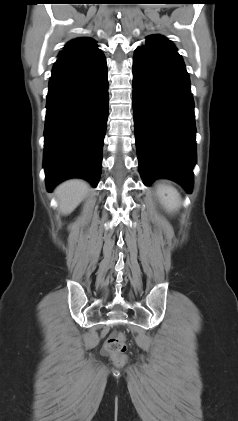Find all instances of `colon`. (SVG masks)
I'll return each instance as SVG.
<instances>
[{
    "label": "colon",
    "instance_id": "obj_1",
    "mask_svg": "<svg viewBox=\"0 0 238 421\" xmlns=\"http://www.w3.org/2000/svg\"><path fill=\"white\" fill-rule=\"evenodd\" d=\"M126 339L122 333L111 334L105 342L104 350L108 353L114 364L120 366L126 361Z\"/></svg>",
    "mask_w": 238,
    "mask_h": 421
}]
</instances>
